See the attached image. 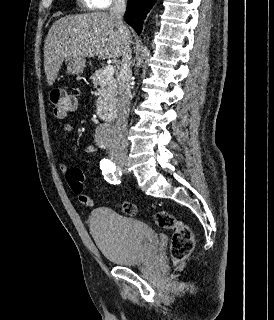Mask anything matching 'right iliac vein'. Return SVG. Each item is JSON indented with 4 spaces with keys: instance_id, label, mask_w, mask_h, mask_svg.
Segmentation results:
<instances>
[{
    "instance_id": "right-iliac-vein-1",
    "label": "right iliac vein",
    "mask_w": 274,
    "mask_h": 320,
    "mask_svg": "<svg viewBox=\"0 0 274 320\" xmlns=\"http://www.w3.org/2000/svg\"><path fill=\"white\" fill-rule=\"evenodd\" d=\"M116 163H117V165H118L121 169H123L124 171L127 170V167H128V160H127V159H125V158H118V159H116Z\"/></svg>"
}]
</instances>
